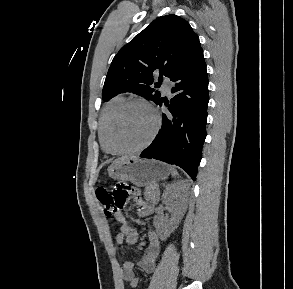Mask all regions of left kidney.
Here are the masks:
<instances>
[{
  "instance_id": "left-kidney-1",
  "label": "left kidney",
  "mask_w": 293,
  "mask_h": 289,
  "mask_svg": "<svg viewBox=\"0 0 293 289\" xmlns=\"http://www.w3.org/2000/svg\"><path fill=\"white\" fill-rule=\"evenodd\" d=\"M188 188L189 183L187 180H180L166 187L162 195V201L171 209L172 217L164 225H159L157 218H154L156 230L162 240H166L170 236L184 216L187 208Z\"/></svg>"
}]
</instances>
